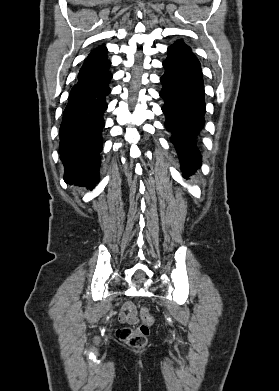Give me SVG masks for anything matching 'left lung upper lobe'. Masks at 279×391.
<instances>
[{"mask_svg":"<svg viewBox=\"0 0 279 391\" xmlns=\"http://www.w3.org/2000/svg\"><path fill=\"white\" fill-rule=\"evenodd\" d=\"M172 47H176V48H181V49H186L188 51L191 52V49L189 46H187L182 40H178L177 42H175L173 45H171Z\"/></svg>","mask_w":279,"mask_h":391,"instance_id":"left-lung-upper-lobe-1","label":"left lung upper lobe"}]
</instances>
